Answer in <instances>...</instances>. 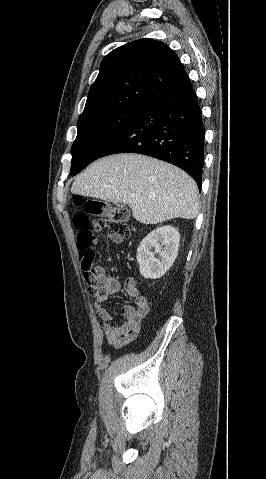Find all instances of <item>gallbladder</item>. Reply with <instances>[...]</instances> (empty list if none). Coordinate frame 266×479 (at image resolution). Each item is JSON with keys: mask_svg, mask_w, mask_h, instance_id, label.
Listing matches in <instances>:
<instances>
[{"mask_svg": "<svg viewBox=\"0 0 266 479\" xmlns=\"http://www.w3.org/2000/svg\"><path fill=\"white\" fill-rule=\"evenodd\" d=\"M115 205L118 206V207H124L125 204L121 203V202H118V201H114Z\"/></svg>", "mask_w": 266, "mask_h": 479, "instance_id": "1", "label": "gallbladder"}]
</instances>
